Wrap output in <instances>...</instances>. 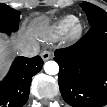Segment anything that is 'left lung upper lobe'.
Returning <instances> with one entry per match:
<instances>
[{
  "label": "left lung upper lobe",
  "instance_id": "left-lung-upper-lobe-1",
  "mask_svg": "<svg viewBox=\"0 0 107 107\" xmlns=\"http://www.w3.org/2000/svg\"><path fill=\"white\" fill-rule=\"evenodd\" d=\"M81 7L83 10H85L91 26L98 24L102 20H107V12H105L103 9L88 2H83Z\"/></svg>",
  "mask_w": 107,
  "mask_h": 107
}]
</instances>
